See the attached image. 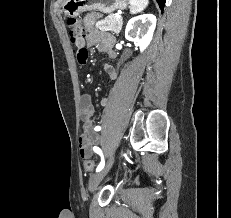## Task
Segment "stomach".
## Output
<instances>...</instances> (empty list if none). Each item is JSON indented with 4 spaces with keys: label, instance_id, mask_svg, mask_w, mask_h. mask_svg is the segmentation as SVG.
Instances as JSON below:
<instances>
[{
    "label": "stomach",
    "instance_id": "1",
    "mask_svg": "<svg viewBox=\"0 0 231 218\" xmlns=\"http://www.w3.org/2000/svg\"><path fill=\"white\" fill-rule=\"evenodd\" d=\"M129 0H64L62 5L64 13L69 17H77L85 11H100L112 13L116 10L126 9Z\"/></svg>",
    "mask_w": 231,
    "mask_h": 218
}]
</instances>
